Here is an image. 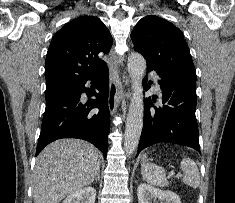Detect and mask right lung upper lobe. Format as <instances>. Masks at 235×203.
Returning <instances> with one entry per match:
<instances>
[{"mask_svg":"<svg viewBox=\"0 0 235 203\" xmlns=\"http://www.w3.org/2000/svg\"><path fill=\"white\" fill-rule=\"evenodd\" d=\"M112 36L94 16H80L60 29L52 38L45 61L46 86L72 84L106 63L98 57L108 53Z\"/></svg>","mask_w":235,"mask_h":203,"instance_id":"cb5924a9","label":"right lung upper lobe"}]
</instances>
